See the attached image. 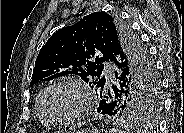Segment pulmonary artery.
I'll return each instance as SVG.
<instances>
[{
	"instance_id": "pulmonary-artery-1",
	"label": "pulmonary artery",
	"mask_w": 184,
	"mask_h": 133,
	"mask_svg": "<svg viewBox=\"0 0 184 133\" xmlns=\"http://www.w3.org/2000/svg\"><path fill=\"white\" fill-rule=\"evenodd\" d=\"M104 73H105V76H106L107 81L108 82H111L113 80V74H112V72L109 69H107V70H105Z\"/></svg>"
}]
</instances>
